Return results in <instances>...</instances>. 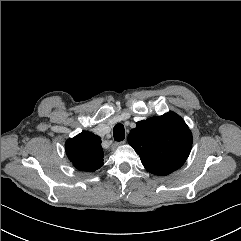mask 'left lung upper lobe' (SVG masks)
I'll return each mask as SVG.
<instances>
[{
	"instance_id": "5c2ea615",
	"label": "left lung upper lobe",
	"mask_w": 241,
	"mask_h": 241,
	"mask_svg": "<svg viewBox=\"0 0 241 241\" xmlns=\"http://www.w3.org/2000/svg\"><path fill=\"white\" fill-rule=\"evenodd\" d=\"M128 143L148 172L168 175L188 158L192 134L183 119L170 112L137 122L128 135Z\"/></svg>"
}]
</instances>
